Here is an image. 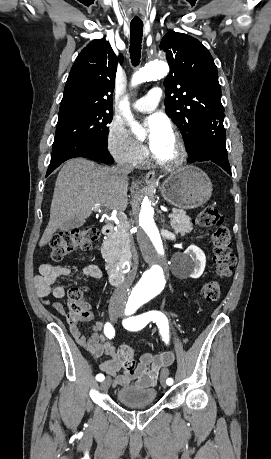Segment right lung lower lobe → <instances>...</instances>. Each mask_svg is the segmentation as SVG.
<instances>
[{
    "instance_id": "obj_1",
    "label": "right lung lower lobe",
    "mask_w": 271,
    "mask_h": 459,
    "mask_svg": "<svg viewBox=\"0 0 271 459\" xmlns=\"http://www.w3.org/2000/svg\"><path fill=\"white\" fill-rule=\"evenodd\" d=\"M75 157L89 158L103 163L114 162L106 144L91 141H72L53 148L46 176L64 161Z\"/></svg>"
}]
</instances>
